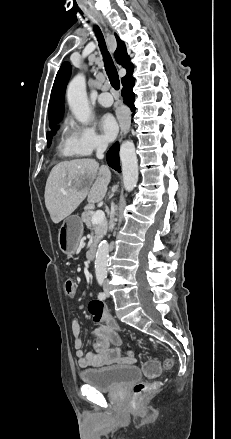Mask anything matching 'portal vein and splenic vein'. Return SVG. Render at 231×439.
Returning <instances> with one entry per match:
<instances>
[{
    "label": "portal vein and splenic vein",
    "mask_w": 231,
    "mask_h": 439,
    "mask_svg": "<svg viewBox=\"0 0 231 439\" xmlns=\"http://www.w3.org/2000/svg\"><path fill=\"white\" fill-rule=\"evenodd\" d=\"M105 220V213L102 210H98L95 212V214L92 216V224L97 225Z\"/></svg>",
    "instance_id": "18ae733b"
}]
</instances>
